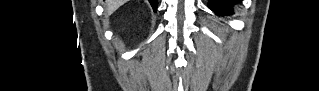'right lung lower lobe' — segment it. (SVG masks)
Wrapping results in <instances>:
<instances>
[{"instance_id":"1","label":"right lung lower lobe","mask_w":319,"mask_h":91,"mask_svg":"<svg viewBox=\"0 0 319 91\" xmlns=\"http://www.w3.org/2000/svg\"><path fill=\"white\" fill-rule=\"evenodd\" d=\"M154 10V12H156L157 10V6H158V1L157 0H148Z\"/></svg>"}]
</instances>
